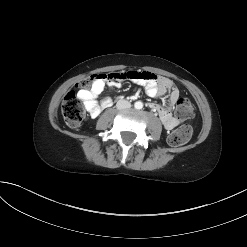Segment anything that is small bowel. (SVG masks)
<instances>
[{"instance_id": "c3829d8e", "label": "small bowel", "mask_w": 247, "mask_h": 247, "mask_svg": "<svg viewBox=\"0 0 247 247\" xmlns=\"http://www.w3.org/2000/svg\"><path fill=\"white\" fill-rule=\"evenodd\" d=\"M129 79L144 86L146 93L151 97H162L168 94L167 106L151 104L150 107L153 111L158 113L162 124L167 130H172L178 126L179 121L171 114L170 108L179 98V89L170 79L158 76L150 71H131L128 69L126 71L117 70L115 73L110 72L106 77L98 80L90 90H80L78 97L84 103L90 115L97 117L104 108L112 104L110 98H105L101 102L97 100L106 84L111 87H119L120 84H124Z\"/></svg>"}]
</instances>
